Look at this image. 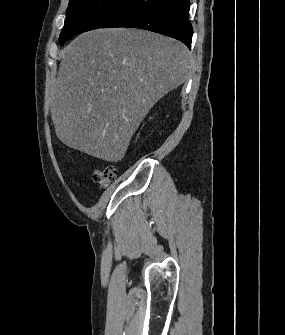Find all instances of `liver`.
<instances>
[{
  "instance_id": "obj_1",
  "label": "liver",
  "mask_w": 285,
  "mask_h": 335,
  "mask_svg": "<svg viewBox=\"0 0 285 335\" xmlns=\"http://www.w3.org/2000/svg\"><path fill=\"white\" fill-rule=\"evenodd\" d=\"M60 56L51 88L55 134L106 162L124 158L149 110L189 78L186 46L144 30L84 32Z\"/></svg>"
}]
</instances>
